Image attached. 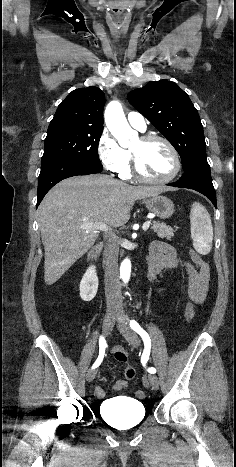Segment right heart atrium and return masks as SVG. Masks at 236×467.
I'll use <instances>...</instances> for the list:
<instances>
[{
    "mask_svg": "<svg viewBox=\"0 0 236 467\" xmlns=\"http://www.w3.org/2000/svg\"><path fill=\"white\" fill-rule=\"evenodd\" d=\"M97 153L102 166L109 172H120L129 161L128 152L108 130H104L100 135Z\"/></svg>",
    "mask_w": 236,
    "mask_h": 467,
    "instance_id": "d8ad5b80",
    "label": "right heart atrium"
}]
</instances>
